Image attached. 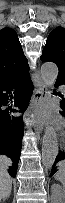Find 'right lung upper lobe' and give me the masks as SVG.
Here are the masks:
<instances>
[{
    "label": "right lung upper lobe",
    "mask_w": 65,
    "mask_h": 203,
    "mask_svg": "<svg viewBox=\"0 0 65 203\" xmlns=\"http://www.w3.org/2000/svg\"><path fill=\"white\" fill-rule=\"evenodd\" d=\"M29 75V65L16 32L0 30V85Z\"/></svg>",
    "instance_id": "right-lung-upper-lobe-1"
}]
</instances>
